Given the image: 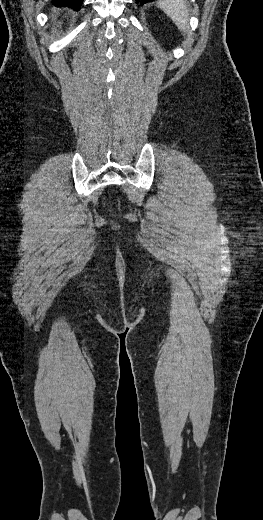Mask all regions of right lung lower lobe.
Returning a JSON list of instances; mask_svg holds the SVG:
<instances>
[{
    "mask_svg": "<svg viewBox=\"0 0 263 520\" xmlns=\"http://www.w3.org/2000/svg\"><path fill=\"white\" fill-rule=\"evenodd\" d=\"M57 6H70L74 10H79L83 0H53Z\"/></svg>",
    "mask_w": 263,
    "mask_h": 520,
    "instance_id": "obj_1",
    "label": "right lung lower lobe"
}]
</instances>
